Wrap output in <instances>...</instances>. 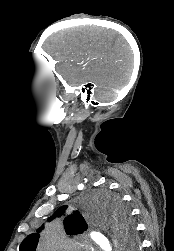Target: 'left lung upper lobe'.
<instances>
[{
	"mask_svg": "<svg viewBox=\"0 0 174 251\" xmlns=\"http://www.w3.org/2000/svg\"><path fill=\"white\" fill-rule=\"evenodd\" d=\"M107 200V212L113 215L115 221V226L122 232L125 240L130 243L132 246L136 243L134 238V226L129 219V212L123 207L120 199L116 196L106 199ZM67 206L59 208L54 216L61 215ZM54 217L49 218V220ZM65 230L69 235H74L82 233L87 229V224L80 213L74 212L72 215L68 216L65 221ZM41 231V228L38 229V232ZM39 234L33 233L27 236L20 245L19 251H35L38 244ZM135 248V247H134Z\"/></svg>",
	"mask_w": 174,
	"mask_h": 251,
	"instance_id": "left-lung-upper-lobe-1",
	"label": "left lung upper lobe"
}]
</instances>
